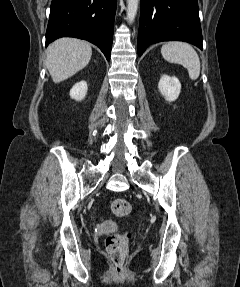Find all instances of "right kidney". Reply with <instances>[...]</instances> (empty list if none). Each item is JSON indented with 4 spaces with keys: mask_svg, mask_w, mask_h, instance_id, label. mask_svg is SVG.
Listing matches in <instances>:
<instances>
[{
    "mask_svg": "<svg viewBox=\"0 0 240 287\" xmlns=\"http://www.w3.org/2000/svg\"><path fill=\"white\" fill-rule=\"evenodd\" d=\"M88 86L86 81L76 83L70 90V97L76 101H81L87 94Z\"/></svg>",
    "mask_w": 240,
    "mask_h": 287,
    "instance_id": "ca27d5eb",
    "label": "right kidney"
}]
</instances>
